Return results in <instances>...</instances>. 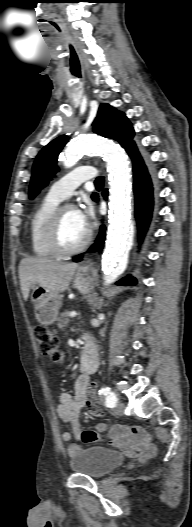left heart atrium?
Masks as SVG:
<instances>
[{
    "label": "left heart atrium",
    "instance_id": "39dd6f15",
    "mask_svg": "<svg viewBox=\"0 0 192 527\" xmlns=\"http://www.w3.org/2000/svg\"><path fill=\"white\" fill-rule=\"evenodd\" d=\"M76 213L82 225L88 230L93 220V210L89 206H86L83 209L77 210Z\"/></svg>",
    "mask_w": 192,
    "mask_h": 527
}]
</instances>
